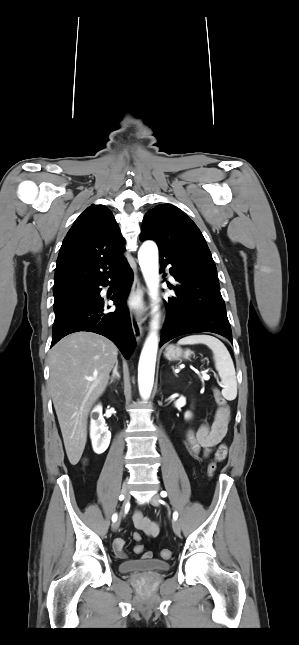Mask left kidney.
<instances>
[{"instance_id": "left-kidney-1", "label": "left kidney", "mask_w": 299, "mask_h": 645, "mask_svg": "<svg viewBox=\"0 0 299 645\" xmlns=\"http://www.w3.org/2000/svg\"><path fill=\"white\" fill-rule=\"evenodd\" d=\"M191 416H192V414H191L190 412H186V413H185V418H186V419L191 418Z\"/></svg>"}]
</instances>
